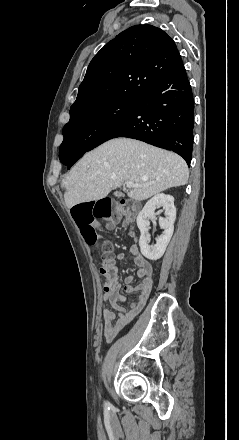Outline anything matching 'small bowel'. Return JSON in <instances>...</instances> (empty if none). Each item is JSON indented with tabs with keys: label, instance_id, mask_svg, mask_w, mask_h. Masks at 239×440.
Instances as JSON below:
<instances>
[{
	"label": "small bowel",
	"instance_id": "small-bowel-1",
	"mask_svg": "<svg viewBox=\"0 0 239 440\" xmlns=\"http://www.w3.org/2000/svg\"><path fill=\"white\" fill-rule=\"evenodd\" d=\"M129 254L137 266L135 275H129L125 278L124 291L128 294H137L136 300L131 304L130 310L126 311L121 305L126 299L120 293V284L118 276L113 279H107L104 285V301L109 304L119 314L110 309L103 310V334L107 341H111L120 330L127 325L144 307L153 283V269L150 262L141 255L137 246L133 245L129 249ZM126 255L119 253L117 260L125 261ZM139 280V283L133 284Z\"/></svg>",
	"mask_w": 239,
	"mask_h": 440
}]
</instances>
